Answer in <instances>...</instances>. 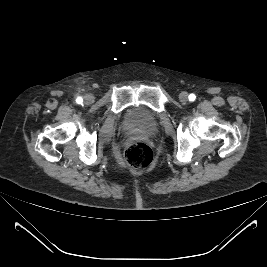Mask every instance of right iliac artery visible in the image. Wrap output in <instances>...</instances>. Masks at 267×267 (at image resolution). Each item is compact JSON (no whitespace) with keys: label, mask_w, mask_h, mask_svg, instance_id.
<instances>
[{"label":"right iliac artery","mask_w":267,"mask_h":267,"mask_svg":"<svg viewBox=\"0 0 267 267\" xmlns=\"http://www.w3.org/2000/svg\"><path fill=\"white\" fill-rule=\"evenodd\" d=\"M82 101H83V99H82L81 97H78V98L76 99V102H77L78 104L82 103Z\"/></svg>","instance_id":"obj_1"}]
</instances>
